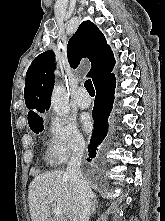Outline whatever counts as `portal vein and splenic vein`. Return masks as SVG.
<instances>
[{
  "label": "portal vein and splenic vein",
  "instance_id": "obj_1",
  "mask_svg": "<svg viewBox=\"0 0 165 221\" xmlns=\"http://www.w3.org/2000/svg\"><path fill=\"white\" fill-rule=\"evenodd\" d=\"M49 202L50 203L53 202V198L52 197H49ZM53 212H54L55 216H58V217L63 215V210L60 207H55L53 209Z\"/></svg>",
  "mask_w": 165,
  "mask_h": 221
}]
</instances>
